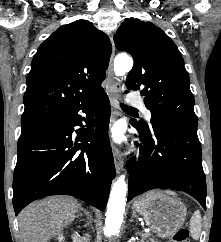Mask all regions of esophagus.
Returning a JSON list of instances; mask_svg holds the SVG:
<instances>
[{
    "instance_id": "esophagus-1",
    "label": "esophagus",
    "mask_w": 221,
    "mask_h": 242,
    "mask_svg": "<svg viewBox=\"0 0 221 242\" xmlns=\"http://www.w3.org/2000/svg\"><path fill=\"white\" fill-rule=\"evenodd\" d=\"M111 44H112V54L110 57V63L108 68L107 93L112 106L111 120H110V124L112 125L120 115V111H119L120 84L113 76V59H114V51H115L113 36L111 37ZM112 149H113V156H114V162H115V169L117 173H120L124 167V160L122 157V153L120 149L113 143H112Z\"/></svg>"
}]
</instances>
